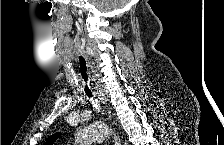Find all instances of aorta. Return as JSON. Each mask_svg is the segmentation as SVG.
<instances>
[{
  "mask_svg": "<svg viewBox=\"0 0 224 145\" xmlns=\"http://www.w3.org/2000/svg\"><path fill=\"white\" fill-rule=\"evenodd\" d=\"M110 129L104 124H93L77 131L76 141L79 145H92L106 140L110 136Z\"/></svg>",
  "mask_w": 224,
  "mask_h": 145,
  "instance_id": "aorta-1",
  "label": "aorta"
}]
</instances>
